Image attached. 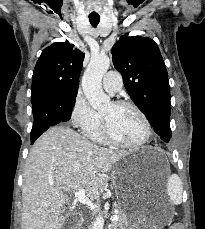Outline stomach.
Returning a JSON list of instances; mask_svg holds the SVG:
<instances>
[{"label": "stomach", "mask_w": 205, "mask_h": 229, "mask_svg": "<svg viewBox=\"0 0 205 229\" xmlns=\"http://www.w3.org/2000/svg\"><path fill=\"white\" fill-rule=\"evenodd\" d=\"M151 148L131 152L112 171L113 183L120 200V208L128 222V229H163L171 218L170 210L161 203L149 205L139 195L143 162Z\"/></svg>", "instance_id": "stomach-1"}]
</instances>
